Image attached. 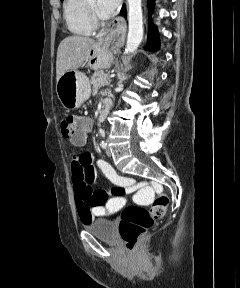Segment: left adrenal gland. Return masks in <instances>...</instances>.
<instances>
[{"mask_svg":"<svg viewBox=\"0 0 240 288\" xmlns=\"http://www.w3.org/2000/svg\"><path fill=\"white\" fill-rule=\"evenodd\" d=\"M118 84H121L124 80L127 79V75L124 72H118Z\"/></svg>","mask_w":240,"mask_h":288,"instance_id":"obj_1","label":"left adrenal gland"}]
</instances>
